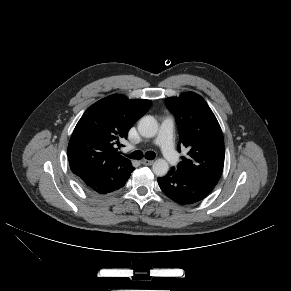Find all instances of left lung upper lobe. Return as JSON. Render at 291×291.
<instances>
[{"label": "left lung upper lobe", "mask_w": 291, "mask_h": 291, "mask_svg": "<svg viewBox=\"0 0 291 291\" xmlns=\"http://www.w3.org/2000/svg\"><path fill=\"white\" fill-rule=\"evenodd\" d=\"M165 103L178 124L179 151L180 144L189 150L177 171L216 185L224 166V139L212 110L200 95L193 92L167 98Z\"/></svg>", "instance_id": "1"}]
</instances>
